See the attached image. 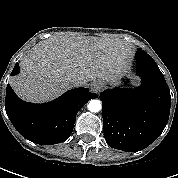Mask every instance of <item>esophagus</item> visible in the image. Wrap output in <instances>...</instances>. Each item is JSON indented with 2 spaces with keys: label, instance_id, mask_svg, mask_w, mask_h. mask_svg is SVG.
<instances>
[{
  "label": "esophagus",
  "instance_id": "34e87169",
  "mask_svg": "<svg viewBox=\"0 0 178 178\" xmlns=\"http://www.w3.org/2000/svg\"><path fill=\"white\" fill-rule=\"evenodd\" d=\"M103 86V82L102 81H94L91 85V90L93 92H98Z\"/></svg>",
  "mask_w": 178,
  "mask_h": 178
}]
</instances>
